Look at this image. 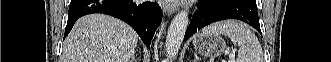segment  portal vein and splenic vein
Instances as JSON below:
<instances>
[{"mask_svg":"<svg viewBox=\"0 0 331 62\" xmlns=\"http://www.w3.org/2000/svg\"><path fill=\"white\" fill-rule=\"evenodd\" d=\"M235 56L233 54L229 55V62H234Z\"/></svg>","mask_w":331,"mask_h":62,"instance_id":"18ae733b","label":"portal vein and splenic vein"}]
</instances>
